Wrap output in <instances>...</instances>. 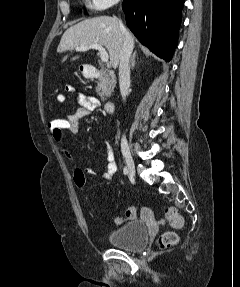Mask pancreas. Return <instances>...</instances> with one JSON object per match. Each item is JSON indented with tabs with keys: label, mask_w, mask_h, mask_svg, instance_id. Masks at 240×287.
Masks as SVG:
<instances>
[{
	"label": "pancreas",
	"mask_w": 240,
	"mask_h": 287,
	"mask_svg": "<svg viewBox=\"0 0 240 287\" xmlns=\"http://www.w3.org/2000/svg\"><path fill=\"white\" fill-rule=\"evenodd\" d=\"M116 85V78L114 73L101 70V76L97 81V87L95 88L97 94L102 101H105L114 90Z\"/></svg>",
	"instance_id": "obj_1"
}]
</instances>
